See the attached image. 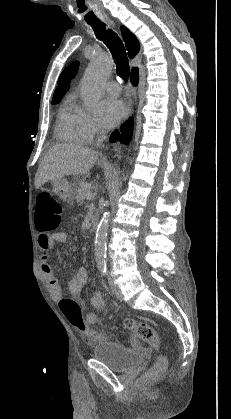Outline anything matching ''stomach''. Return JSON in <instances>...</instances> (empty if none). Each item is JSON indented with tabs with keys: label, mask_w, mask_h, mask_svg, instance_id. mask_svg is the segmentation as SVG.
Returning <instances> with one entry per match:
<instances>
[{
	"label": "stomach",
	"mask_w": 231,
	"mask_h": 419,
	"mask_svg": "<svg viewBox=\"0 0 231 419\" xmlns=\"http://www.w3.org/2000/svg\"><path fill=\"white\" fill-rule=\"evenodd\" d=\"M54 192L63 200L72 202L75 196V187L64 178H56L52 180Z\"/></svg>",
	"instance_id": "0dacf381"
}]
</instances>
